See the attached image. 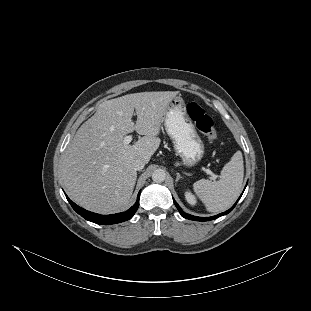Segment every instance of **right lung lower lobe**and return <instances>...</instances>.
<instances>
[{
  "mask_svg": "<svg viewBox=\"0 0 311 311\" xmlns=\"http://www.w3.org/2000/svg\"><path fill=\"white\" fill-rule=\"evenodd\" d=\"M139 196H140V192L138 194L137 202L129 210H127L125 212L117 213V214H112V215H100V214H96V213L87 211V210L77 206L66 195L69 203L71 204L73 209L78 214H80L86 220H89V221L97 223V224H115V223H120V222L129 220L130 218L133 217V215L135 214V212L137 211V209L139 207Z\"/></svg>",
  "mask_w": 311,
  "mask_h": 311,
  "instance_id": "98d812e1",
  "label": "right lung lower lobe"
}]
</instances>
